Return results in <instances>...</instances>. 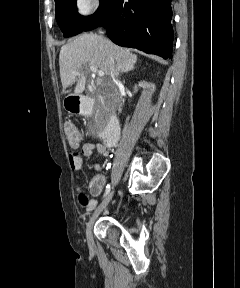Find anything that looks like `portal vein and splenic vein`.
<instances>
[{
    "mask_svg": "<svg viewBox=\"0 0 240 288\" xmlns=\"http://www.w3.org/2000/svg\"><path fill=\"white\" fill-rule=\"evenodd\" d=\"M89 69L93 72V73H97L99 77H103L104 76V72L101 70H98L95 66L90 65Z\"/></svg>",
    "mask_w": 240,
    "mask_h": 288,
    "instance_id": "portal-vein-and-splenic-vein-1",
    "label": "portal vein and splenic vein"
}]
</instances>
